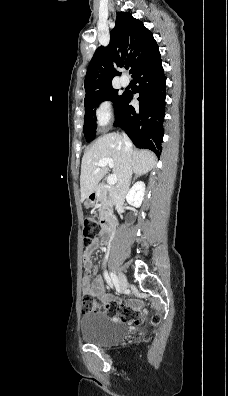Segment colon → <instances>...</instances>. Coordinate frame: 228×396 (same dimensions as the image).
<instances>
[{
  "label": "colon",
  "instance_id": "colon-1",
  "mask_svg": "<svg viewBox=\"0 0 228 396\" xmlns=\"http://www.w3.org/2000/svg\"><path fill=\"white\" fill-rule=\"evenodd\" d=\"M96 231H97V226L94 220L90 217H87L84 220V228H83V239L86 244V250L89 247ZM82 304H83V310L85 312H96V311L104 310V312L110 317H118L125 321H130L135 319V312L131 306L118 304L115 302H106L104 304H100L90 294H84ZM158 321H159V316L156 315L153 318V322L158 323Z\"/></svg>",
  "mask_w": 228,
  "mask_h": 396
}]
</instances>
